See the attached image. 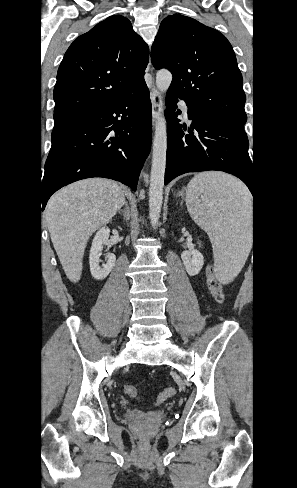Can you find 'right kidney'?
Segmentation results:
<instances>
[{"label": "right kidney", "instance_id": "obj_1", "mask_svg": "<svg viewBox=\"0 0 297 488\" xmlns=\"http://www.w3.org/2000/svg\"><path fill=\"white\" fill-rule=\"evenodd\" d=\"M110 229L108 227H102L95 235L89 254L90 272L92 277L96 280H103L108 276L113 267L115 266L116 256L112 253L106 255L107 263L104 267L99 266L100 252L103 249V245H106L109 239Z\"/></svg>", "mask_w": 297, "mask_h": 488}]
</instances>
